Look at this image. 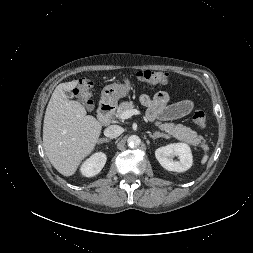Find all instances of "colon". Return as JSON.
<instances>
[{"mask_svg": "<svg viewBox=\"0 0 253 253\" xmlns=\"http://www.w3.org/2000/svg\"><path fill=\"white\" fill-rule=\"evenodd\" d=\"M139 81L147 84H165L169 80L168 73L152 70H142L136 73ZM93 82L90 79L82 78L78 81L73 92L81 100L86 108L91 109L93 102L91 100ZM193 122L200 128L207 125V117L203 110L196 109L192 115Z\"/></svg>", "mask_w": 253, "mask_h": 253, "instance_id": "5ec220e1", "label": "colon"}]
</instances>
